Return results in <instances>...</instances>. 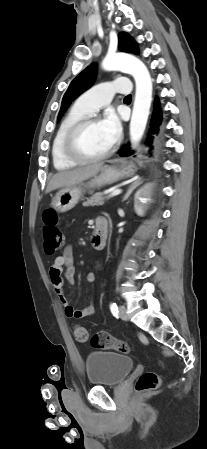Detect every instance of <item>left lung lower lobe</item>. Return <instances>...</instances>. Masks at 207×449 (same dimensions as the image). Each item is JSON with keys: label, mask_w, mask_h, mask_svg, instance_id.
Masks as SVG:
<instances>
[{"label": "left lung lower lobe", "mask_w": 207, "mask_h": 449, "mask_svg": "<svg viewBox=\"0 0 207 449\" xmlns=\"http://www.w3.org/2000/svg\"><path fill=\"white\" fill-rule=\"evenodd\" d=\"M158 99L156 98L155 100V104H154V112H153V116L151 119V123H150V129H149V133L150 136H148L147 139V144L151 147L152 149V142L153 139L155 138L153 135L158 136V134L161 132L160 126H161V122H162V113H161V108L159 105V102L157 101ZM134 152L131 151V149L129 148V145L125 146L124 148L120 149L119 154L121 157H127L132 155Z\"/></svg>", "instance_id": "left-lung-lower-lobe-1"}]
</instances>
